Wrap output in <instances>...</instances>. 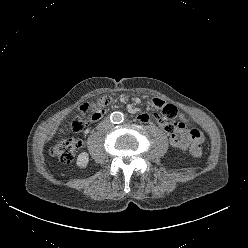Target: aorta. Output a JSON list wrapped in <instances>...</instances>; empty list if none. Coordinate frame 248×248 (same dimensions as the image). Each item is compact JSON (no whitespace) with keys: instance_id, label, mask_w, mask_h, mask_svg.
<instances>
[{"instance_id":"762f6f07","label":"aorta","mask_w":248,"mask_h":248,"mask_svg":"<svg viewBox=\"0 0 248 248\" xmlns=\"http://www.w3.org/2000/svg\"><path fill=\"white\" fill-rule=\"evenodd\" d=\"M110 119L113 123H121L124 119V115L121 112H113L110 116Z\"/></svg>"}]
</instances>
